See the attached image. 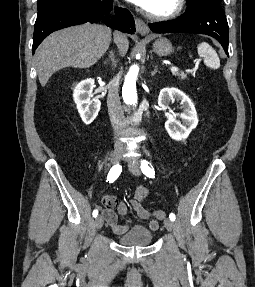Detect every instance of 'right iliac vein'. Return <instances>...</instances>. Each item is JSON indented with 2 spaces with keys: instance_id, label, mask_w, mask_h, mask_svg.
<instances>
[{
  "instance_id": "63e3f726",
  "label": "right iliac vein",
  "mask_w": 255,
  "mask_h": 287,
  "mask_svg": "<svg viewBox=\"0 0 255 287\" xmlns=\"http://www.w3.org/2000/svg\"><path fill=\"white\" fill-rule=\"evenodd\" d=\"M122 154H123V148H121V147L115 148L114 151L110 155V162L112 164L118 163L122 157ZM103 222H104L103 216L102 215L97 216L95 219V222H94L95 229L96 230L101 229V227L103 226Z\"/></svg>"
}]
</instances>
